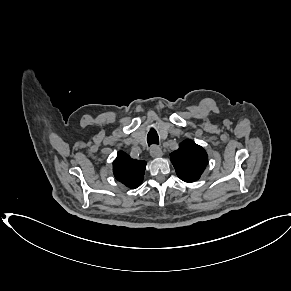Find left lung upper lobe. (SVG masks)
<instances>
[{"label": "left lung upper lobe", "instance_id": "left-lung-upper-lobe-1", "mask_svg": "<svg viewBox=\"0 0 291 291\" xmlns=\"http://www.w3.org/2000/svg\"><path fill=\"white\" fill-rule=\"evenodd\" d=\"M178 177L185 182L198 180L208 164L206 151L192 140H185L170 154Z\"/></svg>", "mask_w": 291, "mask_h": 291}]
</instances>
